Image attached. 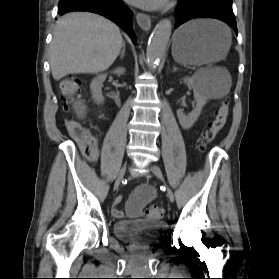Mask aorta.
I'll use <instances>...</instances> for the list:
<instances>
[{"mask_svg":"<svg viewBox=\"0 0 279 279\" xmlns=\"http://www.w3.org/2000/svg\"><path fill=\"white\" fill-rule=\"evenodd\" d=\"M171 30L170 19L161 20L154 28L146 51L148 65L151 69H155L162 60L171 36Z\"/></svg>","mask_w":279,"mask_h":279,"instance_id":"762f6f07","label":"aorta"}]
</instances>
